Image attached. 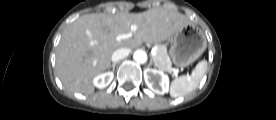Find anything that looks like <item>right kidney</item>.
I'll return each instance as SVG.
<instances>
[{"mask_svg": "<svg viewBox=\"0 0 276 120\" xmlns=\"http://www.w3.org/2000/svg\"><path fill=\"white\" fill-rule=\"evenodd\" d=\"M114 74L113 72H105L103 74H99L97 75L94 80H93V84L97 87V88H105L107 87L111 81L113 80Z\"/></svg>", "mask_w": 276, "mask_h": 120, "instance_id": "right-kidney-1", "label": "right kidney"}]
</instances>
